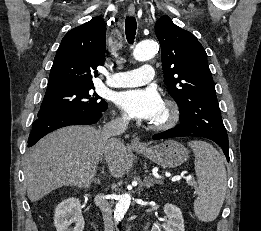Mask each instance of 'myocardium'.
Returning a JSON list of instances; mask_svg holds the SVG:
<instances>
[{"label":"myocardium","instance_id":"myocardium-1","mask_svg":"<svg viewBox=\"0 0 261 231\" xmlns=\"http://www.w3.org/2000/svg\"><path fill=\"white\" fill-rule=\"evenodd\" d=\"M163 106L166 109V116L158 122H151L150 128L156 131H165L173 128L180 119L179 105L172 99H165Z\"/></svg>","mask_w":261,"mask_h":231}]
</instances>
